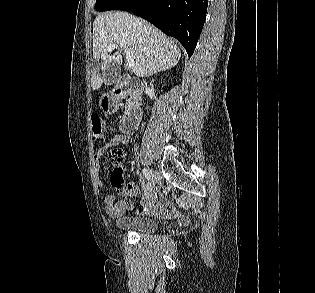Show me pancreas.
<instances>
[{"instance_id": "1", "label": "pancreas", "mask_w": 315, "mask_h": 293, "mask_svg": "<svg viewBox=\"0 0 315 293\" xmlns=\"http://www.w3.org/2000/svg\"><path fill=\"white\" fill-rule=\"evenodd\" d=\"M137 102H138L137 93L134 91H131L130 98L128 99V102L126 103V108L130 107L132 104H136Z\"/></svg>"}]
</instances>
